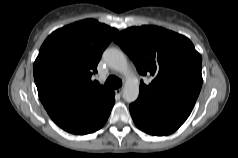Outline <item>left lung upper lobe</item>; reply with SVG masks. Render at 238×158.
Instances as JSON below:
<instances>
[{
	"instance_id": "left-lung-upper-lobe-1",
	"label": "left lung upper lobe",
	"mask_w": 238,
	"mask_h": 158,
	"mask_svg": "<svg viewBox=\"0 0 238 158\" xmlns=\"http://www.w3.org/2000/svg\"><path fill=\"white\" fill-rule=\"evenodd\" d=\"M114 41L152 82L140 85L139 97L152 103L197 99L202 86V57L183 35L157 27H131Z\"/></svg>"
}]
</instances>
